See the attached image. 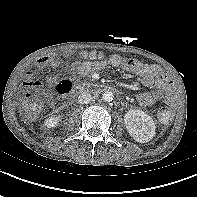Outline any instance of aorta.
Instances as JSON below:
<instances>
[{"mask_svg": "<svg viewBox=\"0 0 197 197\" xmlns=\"http://www.w3.org/2000/svg\"><path fill=\"white\" fill-rule=\"evenodd\" d=\"M114 98V94L111 91H106L102 94V99L105 102H110Z\"/></svg>", "mask_w": 197, "mask_h": 197, "instance_id": "762f6f07", "label": "aorta"}]
</instances>
